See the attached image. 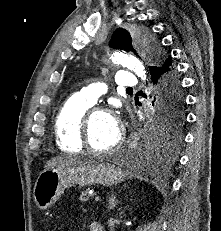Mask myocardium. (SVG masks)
<instances>
[{
  "label": "myocardium",
  "mask_w": 221,
  "mask_h": 231,
  "mask_svg": "<svg viewBox=\"0 0 221 231\" xmlns=\"http://www.w3.org/2000/svg\"><path fill=\"white\" fill-rule=\"evenodd\" d=\"M98 113H106L113 116V113L110 109L103 106H95L89 108L84 114L81 124H80V142L83 148L94 155H107L120 148L124 141V130L122 127H119V133L116 141L110 147L105 149H96L92 146L90 141V127L93 117Z\"/></svg>",
  "instance_id": "1"
}]
</instances>
